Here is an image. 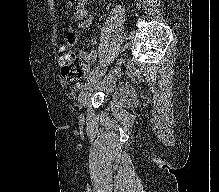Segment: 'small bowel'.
Wrapping results in <instances>:
<instances>
[{
	"instance_id": "c3829d8e",
	"label": "small bowel",
	"mask_w": 219,
	"mask_h": 192,
	"mask_svg": "<svg viewBox=\"0 0 219 192\" xmlns=\"http://www.w3.org/2000/svg\"><path fill=\"white\" fill-rule=\"evenodd\" d=\"M88 1L89 0H79L76 10L73 13V18L78 22V27L80 29L89 28L94 18V14L86 8ZM88 38L91 45H95L98 43V39L96 36L88 34ZM79 55L87 61V64L85 65L86 71L90 69V63L96 61L97 59V53L91 47L87 50L79 51Z\"/></svg>"
}]
</instances>
